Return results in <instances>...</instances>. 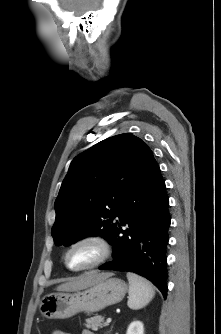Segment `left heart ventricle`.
I'll return each mask as SVG.
<instances>
[{"mask_svg":"<svg viewBox=\"0 0 221 334\" xmlns=\"http://www.w3.org/2000/svg\"><path fill=\"white\" fill-rule=\"evenodd\" d=\"M99 251L95 245L83 244L74 248L69 255L72 267H81L92 263L98 257Z\"/></svg>","mask_w":221,"mask_h":334,"instance_id":"left-heart-ventricle-1","label":"left heart ventricle"}]
</instances>
